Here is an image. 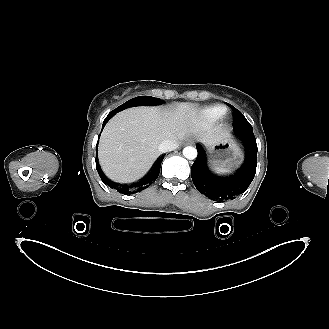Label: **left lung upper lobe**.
I'll use <instances>...</instances> for the list:
<instances>
[{
  "label": "left lung upper lobe",
  "mask_w": 329,
  "mask_h": 329,
  "mask_svg": "<svg viewBox=\"0 0 329 329\" xmlns=\"http://www.w3.org/2000/svg\"><path fill=\"white\" fill-rule=\"evenodd\" d=\"M231 107V109L233 110L234 113V120H233V126L237 127V126H244L246 124H250L246 118L244 117V115L237 110L235 107H233L232 105L228 104Z\"/></svg>",
  "instance_id": "obj_1"
}]
</instances>
